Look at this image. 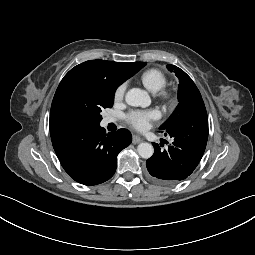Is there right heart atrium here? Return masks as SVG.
I'll return each mask as SVG.
<instances>
[{
    "mask_svg": "<svg viewBox=\"0 0 255 255\" xmlns=\"http://www.w3.org/2000/svg\"><path fill=\"white\" fill-rule=\"evenodd\" d=\"M125 91H126V84H125V83L120 84V85L116 88V90H115V92H114V100H115L116 102L122 101L123 98H124V95H125Z\"/></svg>",
    "mask_w": 255,
    "mask_h": 255,
    "instance_id": "right-heart-atrium-1",
    "label": "right heart atrium"
}]
</instances>
